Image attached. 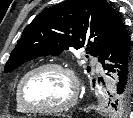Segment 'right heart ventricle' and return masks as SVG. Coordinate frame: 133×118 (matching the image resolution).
<instances>
[{
	"mask_svg": "<svg viewBox=\"0 0 133 118\" xmlns=\"http://www.w3.org/2000/svg\"><path fill=\"white\" fill-rule=\"evenodd\" d=\"M15 104H16V109L18 112L20 113H27V111L25 110V108L21 105L19 98H18V86L16 88V93H15Z\"/></svg>",
	"mask_w": 133,
	"mask_h": 118,
	"instance_id": "right-heart-ventricle-1",
	"label": "right heart ventricle"
}]
</instances>
